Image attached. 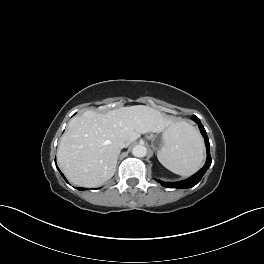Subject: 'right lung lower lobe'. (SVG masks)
<instances>
[{
    "instance_id": "98d812e1",
    "label": "right lung lower lobe",
    "mask_w": 264,
    "mask_h": 264,
    "mask_svg": "<svg viewBox=\"0 0 264 264\" xmlns=\"http://www.w3.org/2000/svg\"><path fill=\"white\" fill-rule=\"evenodd\" d=\"M59 170V169H58ZM60 171V170H59ZM61 175L63 176L62 172L60 171ZM64 177V176H63ZM78 190H84V188H77Z\"/></svg>"
}]
</instances>
